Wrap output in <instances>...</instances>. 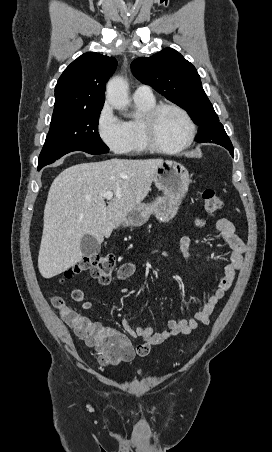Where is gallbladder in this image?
<instances>
[{
	"label": "gallbladder",
	"mask_w": 272,
	"mask_h": 452,
	"mask_svg": "<svg viewBox=\"0 0 272 452\" xmlns=\"http://www.w3.org/2000/svg\"><path fill=\"white\" fill-rule=\"evenodd\" d=\"M101 245L95 237L89 234L83 235L81 239V252L83 256L92 257L99 253Z\"/></svg>",
	"instance_id": "obj_1"
}]
</instances>
